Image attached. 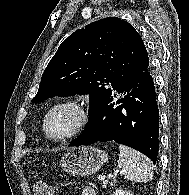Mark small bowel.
<instances>
[{
	"mask_svg": "<svg viewBox=\"0 0 189 195\" xmlns=\"http://www.w3.org/2000/svg\"><path fill=\"white\" fill-rule=\"evenodd\" d=\"M82 195H96V191L92 187H86L83 190Z\"/></svg>",
	"mask_w": 189,
	"mask_h": 195,
	"instance_id": "obj_1",
	"label": "small bowel"
}]
</instances>
